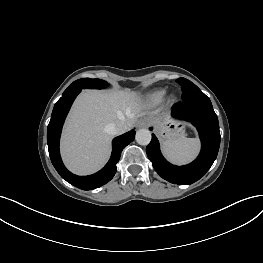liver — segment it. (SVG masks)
Listing matches in <instances>:
<instances>
[{
  "instance_id": "1",
  "label": "liver",
  "mask_w": 263,
  "mask_h": 263,
  "mask_svg": "<svg viewBox=\"0 0 263 263\" xmlns=\"http://www.w3.org/2000/svg\"><path fill=\"white\" fill-rule=\"evenodd\" d=\"M140 99L129 90H85L76 99L67 118L61 153L67 168L78 175L99 170L110 155L112 134L106 126L123 120L128 129L137 121ZM169 122L165 118L164 124Z\"/></svg>"
}]
</instances>
